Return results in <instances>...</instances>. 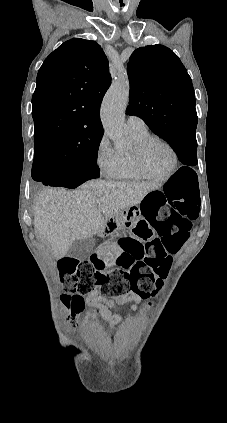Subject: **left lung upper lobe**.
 Returning <instances> with one entry per match:
<instances>
[{
    "mask_svg": "<svg viewBox=\"0 0 227 423\" xmlns=\"http://www.w3.org/2000/svg\"><path fill=\"white\" fill-rule=\"evenodd\" d=\"M127 70V114L143 119L169 144L195 137L198 118L192 80L172 50L159 44L140 47L130 56Z\"/></svg>",
    "mask_w": 227,
    "mask_h": 423,
    "instance_id": "1",
    "label": "left lung upper lobe"
}]
</instances>
